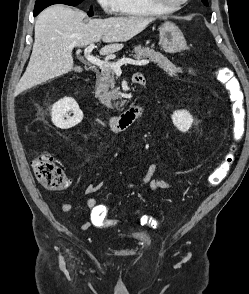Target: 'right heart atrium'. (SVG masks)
<instances>
[{"label":"right heart atrium","mask_w":249,"mask_h":294,"mask_svg":"<svg viewBox=\"0 0 249 294\" xmlns=\"http://www.w3.org/2000/svg\"><path fill=\"white\" fill-rule=\"evenodd\" d=\"M102 9L109 14L118 12V0H97Z\"/></svg>","instance_id":"obj_1"}]
</instances>
